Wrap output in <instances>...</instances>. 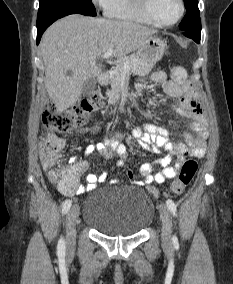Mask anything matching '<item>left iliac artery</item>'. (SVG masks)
Here are the masks:
<instances>
[{"instance_id": "44dca946", "label": "left iliac artery", "mask_w": 233, "mask_h": 284, "mask_svg": "<svg viewBox=\"0 0 233 284\" xmlns=\"http://www.w3.org/2000/svg\"><path fill=\"white\" fill-rule=\"evenodd\" d=\"M166 205H167L168 209L170 210V212L172 213V215L175 217L177 209H176V205H175L174 201L171 200V199H168L166 201ZM172 240H173L174 244H178V240H177L176 236H173Z\"/></svg>"}]
</instances>
